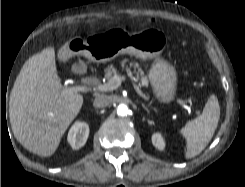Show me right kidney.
<instances>
[{
  "label": "right kidney",
  "instance_id": "ca27d5eb",
  "mask_svg": "<svg viewBox=\"0 0 245 187\" xmlns=\"http://www.w3.org/2000/svg\"><path fill=\"white\" fill-rule=\"evenodd\" d=\"M89 136V126L85 122H75L69 130L68 142L75 150L83 147Z\"/></svg>",
  "mask_w": 245,
  "mask_h": 187
}]
</instances>
